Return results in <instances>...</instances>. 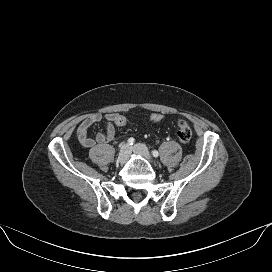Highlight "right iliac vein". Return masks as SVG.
Returning <instances> with one entry per match:
<instances>
[{
	"label": "right iliac vein",
	"mask_w": 272,
	"mask_h": 272,
	"mask_svg": "<svg viewBox=\"0 0 272 272\" xmlns=\"http://www.w3.org/2000/svg\"><path fill=\"white\" fill-rule=\"evenodd\" d=\"M130 154H131V148H130V146L127 145V144H123L122 147H121V149H120L117 161L120 164H124L128 160Z\"/></svg>",
	"instance_id": "1"
}]
</instances>
